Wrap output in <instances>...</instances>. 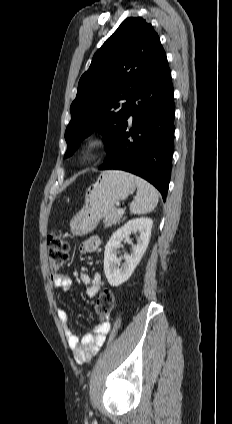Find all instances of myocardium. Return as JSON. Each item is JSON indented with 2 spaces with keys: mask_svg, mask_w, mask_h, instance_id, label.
<instances>
[{
  "mask_svg": "<svg viewBox=\"0 0 232 424\" xmlns=\"http://www.w3.org/2000/svg\"><path fill=\"white\" fill-rule=\"evenodd\" d=\"M105 139L103 136L94 134L90 135L82 142L80 147L81 157L85 161H91L97 158L104 150Z\"/></svg>",
  "mask_w": 232,
  "mask_h": 424,
  "instance_id": "obj_1",
  "label": "myocardium"
}]
</instances>
